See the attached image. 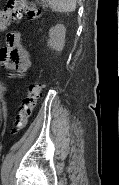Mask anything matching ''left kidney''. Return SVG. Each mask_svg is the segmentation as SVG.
<instances>
[{
	"label": "left kidney",
	"mask_w": 119,
	"mask_h": 185,
	"mask_svg": "<svg viewBox=\"0 0 119 185\" xmlns=\"http://www.w3.org/2000/svg\"><path fill=\"white\" fill-rule=\"evenodd\" d=\"M66 28L62 24H57L49 30L48 46L55 51H62L65 44Z\"/></svg>",
	"instance_id": "obj_1"
}]
</instances>
